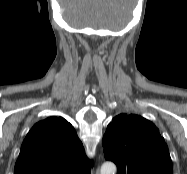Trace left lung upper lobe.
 Masks as SVG:
<instances>
[{
	"mask_svg": "<svg viewBox=\"0 0 187 174\" xmlns=\"http://www.w3.org/2000/svg\"><path fill=\"white\" fill-rule=\"evenodd\" d=\"M105 159L117 174H172L168 147L156 126L134 114H120L108 125L102 140Z\"/></svg>",
	"mask_w": 187,
	"mask_h": 174,
	"instance_id": "1",
	"label": "left lung upper lobe"
}]
</instances>
